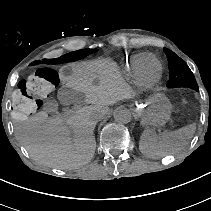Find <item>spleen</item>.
<instances>
[{"instance_id": "obj_1", "label": "spleen", "mask_w": 211, "mask_h": 211, "mask_svg": "<svg viewBox=\"0 0 211 211\" xmlns=\"http://www.w3.org/2000/svg\"><path fill=\"white\" fill-rule=\"evenodd\" d=\"M195 129V125H188L161 134L146 129L140 136L139 150L149 158L165 157L185 147L192 139Z\"/></svg>"}]
</instances>
